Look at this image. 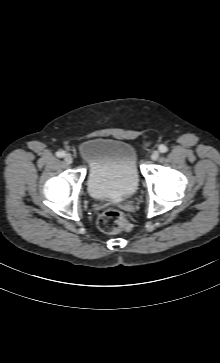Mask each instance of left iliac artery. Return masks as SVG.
Returning a JSON list of instances; mask_svg holds the SVG:
<instances>
[{
    "label": "left iliac artery",
    "instance_id": "left-iliac-artery-1",
    "mask_svg": "<svg viewBox=\"0 0 220 363\" xmlns=\"http://www.w3.org/2000/svg\"><path fill=\"white\" fill-rule=\"evenodd\" d=\"M159 150L161 153H166L168 151V148L165 145H160Z\"/></svg>",
    "mask_w": 220,
    "mask_h": 363
}]
</instances>
